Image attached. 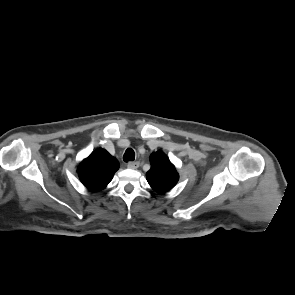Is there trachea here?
Returning a JSON list of instances; mask_svg holds the SVG:
<instances>
[{
	"instance_id": "trachea-1",
	"label": "trachea",
	"mask_w": 295,
	"mask_h": 295,
	"mask_svg": "<svg viewBox=\"0 0 295 295\" xmlns=\"http://www.w3.org/2000/svg\"><path fill=\"white\" fill-rule=\"evenodd\" d=\"M134 159H135L134 150L132 148H128L123 155V160L125 162H130V161H134Z\"/></svg>"
}]
</instances>
